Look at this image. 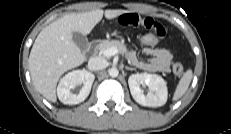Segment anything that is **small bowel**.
<instances>
[{
	"mask_svg": "<svg viewBox=\"0 0 231 134\" xmlns=\"http://www.w3.org/2000/svg\"><path fill=\"white\" fill-rule=\"evenodd\" d=\"M116 22L124 28H142L162 38L166 35L165 27L152 17H142L134 12L118 14ZM144 53L149 56L147 60H140L134 52H129V60L138 68L146 71L166 72L170 69L172 53L161 47L144 48Z\"/></svg>",
	"mask_w": 231,
	"mask_h": 134,
	"instance_id": "small-bowel-1",
	"label": "small bowel"
}]
</instances>
